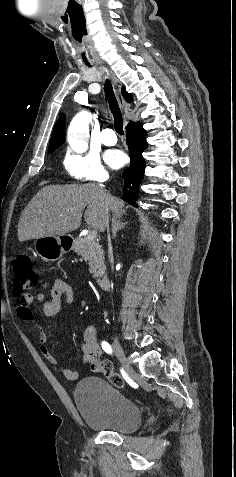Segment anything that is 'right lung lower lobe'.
Masks as SVG:
<instances>
[{
    "label": "right lung lower lobe",
    "mask_w": 236,
    "mask_h": 477,
    "mask_svg": "<svg viewBox=\"0 0 236 477\" xmlns=\"http://www.w3.org/2000/svg\"><path fill=\"white\" fill-rule=\"evenodd\" d=\"M126 134L131 161L130 167L126 168L122 173L124 178L123 200L136 206L138 189L145 169V160L142 153L147 148L146 131L142 128L141 123L138 122L127 125Z\"/></svg>",
    "instance_id": "1"
}]
</instances>
